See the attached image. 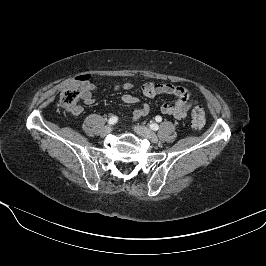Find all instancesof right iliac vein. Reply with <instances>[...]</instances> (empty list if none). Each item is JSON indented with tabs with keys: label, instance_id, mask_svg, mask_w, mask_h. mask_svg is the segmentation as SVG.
<instances>
[{
	"label": "right iliac vein",
	"instance_id": "obj_1",
	"mask_svg": "<svg viewBox=\"0 0 266 266\" xmlns=\"http://www.w3.org/2000/svg\"><path fill=\"white\" fill-rule=\"evenodd\" d=\"M112 128L110 126H106L103 128L101 135L102 136H107L109 133H111Z\"/></svg>",
	"mask_w": 266,
	"mask_h": 266
}]
</instances>
